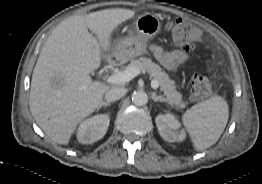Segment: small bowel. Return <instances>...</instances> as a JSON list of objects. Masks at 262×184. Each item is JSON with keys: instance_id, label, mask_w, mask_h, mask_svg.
Returning <instances> with one entry per match:
<instances>
[{"instance_id": "obj_1", "label": "small bowel", "mask_w": 262, "mask_h": 184, "mask_svg": "<svg viewBox=\"0 0 262 184\" xmlns=\"http://www.w3.org/2000/svg\"><path fill=\"white\" fill-rule=\"evenodd\" d=\"M150 50L159 63L167 70H176L185 65L189 60L188 54L183 50L165 52L157 45L150 46Z\"/></svg>"}]
</instances>
